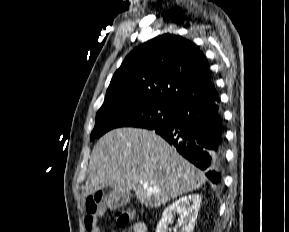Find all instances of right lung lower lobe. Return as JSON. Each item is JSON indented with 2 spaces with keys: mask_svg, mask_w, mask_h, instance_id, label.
Instances as JSON below:
<instances>
[{
  "mask_svg": "<svg viewBox=\"0 0 289 232\" xmlns=\"http://www.w3.org/2000/svg\"><path fill=\"white\" fill-rule=\"evenodd\" d=\"M219 96L194 101L177 108L175 118L155 132L188 161L205 171L212 183L221 180L224 164L223 120Z\"/></svg>",
  "mask_w": 289,
  "mask_h": 232,
  "instance_id": "right-lung-lower-lobe-1",
  "label": "right lung lower lobe"
}]
</instances>
